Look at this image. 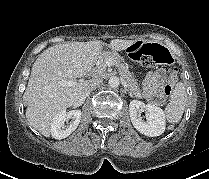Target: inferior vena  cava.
I'll return each instance as SVG.
<instances>
[{"instance_id":"602c4592","label":"inferior vena cava","mask_w":209,"mask_h":179,"mask_svg":"<svg viewBox=\"0 0 209 179\" xmlns=\"http://www.w3.org/2000/svg\"><path fill=\"white\" fill-rule=\"evenodd\" d=\"M101 82V79H91L88 82L87 87L85 88L83 98H86L92 92V90L95 89Z\"/></svg>"}]
</instances>
